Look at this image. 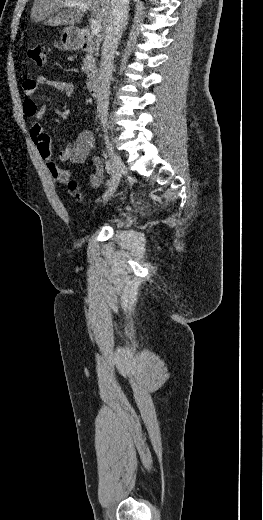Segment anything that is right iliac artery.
Listing matches in <instances>:
<instances>
[{
  "label": "right iliac artery",
  "instance_id": "1",
  "mask_svg": "<svg viewBox=\"0 0 263 520\" xmlns=\"http://www.w3.org/2000/svg\"><path fill=\"white\" fill-rule=\"evenodd\" d=\"M105 164H106V170H107V173L110 174L111 171H112L111 161H110V160H107V161L105 162Z\"/></svg>",
  "mask_w": 263,
  "mask_h": 520
}]
</instances>
